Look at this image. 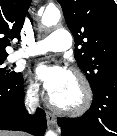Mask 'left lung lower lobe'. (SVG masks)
I'll list each match as a JSON object with an SVG mask.
<instances>
[{"label": "left lung lower lobe", "instance_id": "1", "mask_svg": "<svg viewBox=\"0 0 117 136\" xmlns=\"http://www.w3.org/2000/svg\"><path fill=\"white\" fill-rule=\"evenodd\" d=\"M62 136H117V78L93 91L90 109L78 118H58Z\"/></svg>", "mask_w": 117, "mask_h": 136}]
</instances>
